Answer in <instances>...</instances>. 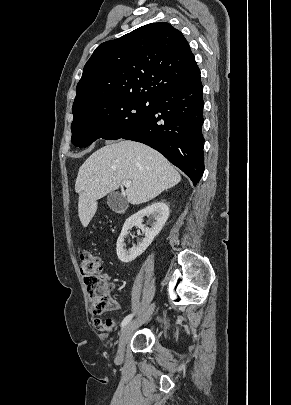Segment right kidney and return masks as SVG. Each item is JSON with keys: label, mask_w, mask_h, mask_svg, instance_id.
Instances as JSON below:
<instances>
[{"label": "right kidney", "mask_w": 291, "mask_h": 405, "mask_svg": "<svg viewBox=\"0 0 291 405\" xmlns=\"http://www.w3.org/2000/svg\"><path fill=\"white\" fill-rule=\"evenodd\" d=\"M145 215H151L156 220V222L152 225L151 228H145L142 224L143 217ZM168 217H169V207L164 202L153 203L150 206H147L146 208L130 216L125 221L121 234L117 240L116 252L118 259L121 262L129 263L139 255H141L152 243L153 239L161 231ZM134 226L140 228L144 233L145 237L136 246H133L131 249L126 251L124 248V237L128 234V231L131 230Z\"/></svg>", "instance_id": "1"}]
</instances>
